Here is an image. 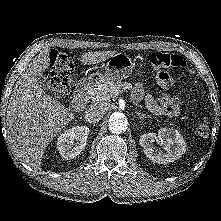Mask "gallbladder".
Returning a JSON list of instances; mask_svg holds the SVG:
<instances>
[{"label":"gallbladder","instance_id":"1","mask_svg":"<svg viewBox=\"0 0 221 221\" xmlns=\"http://www.w3.org/2000/svg\"><path fill=\"white\" fill-rule=\"evenodd\" d=\"M36 80H37V83H38L44 90H50V89H51L50 82L48 81L47 77H46L44 74L39 73V74L36 76Z\"/></svg>","mask_w":221,"mask_h":221}]
</instances>
